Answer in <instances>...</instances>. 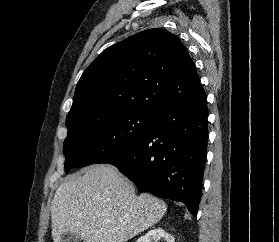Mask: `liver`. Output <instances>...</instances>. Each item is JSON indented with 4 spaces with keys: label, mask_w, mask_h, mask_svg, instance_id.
<instances>
[{
    "label": "liver",
    "mask_w": 279,
    "mask_h": 242,
    "mask_svg": "<svg viewBox=\"0 0 279 242\" xmlns=\"http://www.w3.org/2000/svg\"><path fill=\"white\" fill-rule=\"evenodd\" d=\"M166 203L134 185L114 166L93 165L70 175L51 205L52 237L72 233L84 242H125L157 223Z\"/></svg>",
    "instance_id": "6515ba94"
}]
</instances>
